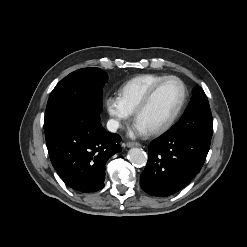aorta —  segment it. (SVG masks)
Instances as JSON below:
<instances>
[{
	"label": "aorta",
	"mask_w": 247,
	"mask_h": 247,
	"mask_svg": "<svg viewBox=\"0 0 247 247\" xmlns=\"http://www.w3.org/2000/svg\"><path fill=\"white\" fill-rule=\"evenodd\" d=\"M128 160L137 167H143L147 163V154L140 148H132L128 152Z\"/></svg>",
	"instance_id": "1"
}]
</instances>
